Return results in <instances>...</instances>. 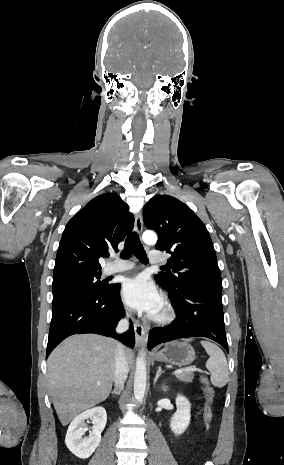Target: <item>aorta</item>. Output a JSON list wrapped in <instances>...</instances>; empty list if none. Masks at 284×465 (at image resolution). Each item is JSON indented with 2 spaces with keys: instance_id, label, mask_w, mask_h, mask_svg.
<instances>
[{
  "instance_id": "1",
  "label": "aorta",
  "mask_w": 284,
  "mask_h": 465,
  "mask_svg": "<svg viewBox=\"0 0 284 465\" xmlns=\"http://www.w3.org/2000/svg\"><path fill=\"white\" fill-rule=\"evenodd\" d=\"M142 239L146 244H155L157 242V235L153 231H145L142 235ZM146 361L145 354L143 351L139 353L136 360V371L134 376V397L138 402H141L144 398L146 389Z\"/></svg>"
}]
</instances>
